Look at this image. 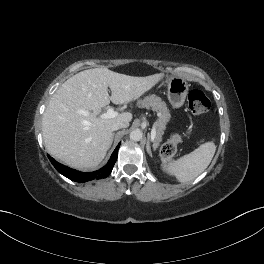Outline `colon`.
Here are the masks:
<instances>
[{
    "label": "colon",
    "mask_w": 264,
    "mask_h": 264,
    "mask_svg": "<svg viewBox=\"0 0 264 264\" xmlns=\"http://www.w3.org/2000/svg\"><path fill=\"white\" fill-rule=\"evenodd\" d=\"M188 107L191 113L194 115H202L209 110L210 100L201 90L194 89L188 94ZM180 141L181 136L177 133H174L171 135L169 140H167L162 145L160 153L166 162L170 161L175 155Z\"/></svg>",
    "instance_id": "colon-1"
}]
</instances>
